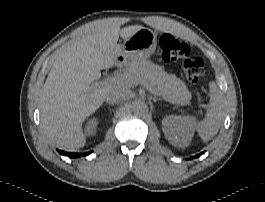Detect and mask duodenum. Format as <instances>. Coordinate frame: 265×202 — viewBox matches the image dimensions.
Returning <instances> with one entry per match:
<instances>
[{
	"label": "duodenum",
	"mask_w": 265,
	"mask_h": 202,
	"mask_svg": "<svg viewBox=\"0 0 265 202\" xmlns=\"http://www.w3.org/2000/svg\"><path fill=\"white\" fill-rule=\"evenodd\" d=\"M122 61H123V57L122 56H117L115 58L114 68L120 67V65L122 64Z\"/></svg>",
	"instance_id": "duodenum-1"
}]
</instances>
